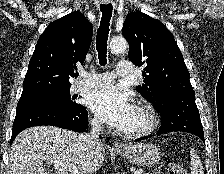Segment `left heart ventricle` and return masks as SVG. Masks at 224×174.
<instances>
[{
	"instance_id": "b2bd125f",
	"label": "left heart ventricle",
	"mask_w": 224,
	"mask_h": 174,
	"mask_svg": "<svg viewBox=\"0 0 224 174\" xmlns=\"http://www.w3.org/2000/svg\"><path fill=\"white\" fill-rule=\"evenodd\" d=\"M145 123V118L143 113L136 107L135 112L131 118V120L129 121V123L127 124V126L125 127V131H129V130H135L138 129L140 127H142Z\"/></svg>"
}]
</instances>
